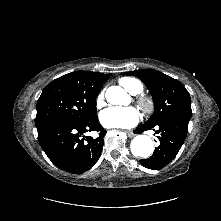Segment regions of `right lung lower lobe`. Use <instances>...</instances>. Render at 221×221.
Listing matches in <instances>:
<instances>
[{"instance_id":"1","label":"right lung lower lobe","mask_w":221,"mask_h":221,"mask_svg":"<svg viewBox=\"0 0 221 221\" xmlns=\"http://www.w3.org/2000/svg\"><path fill=\"white\" fill-rule=\"evenodd\" d=\"M97 131V138L83 136ZM106 131L98 117L82 123L57 122L38 129L39 143L54 165L69 173L89 170L99 159Z\"/></svg>"}]
</instances>
